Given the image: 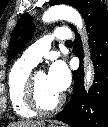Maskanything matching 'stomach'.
Returning a JSON list of instances; mask_svg holds the SVG:
<instances>
[{
    "mask_svg": "<svg viewBox=\"0 0 108 127\" xmlns=\"http://www.w3.org/2000/svg\"><path fill=\"white\" fill-rule=\"evenodd\" d=\"M47 127H67L66 125H60V124H55L54 122H50V124Z\"/></svg>",
    "mask_w": 108,
    "mask_h": 127,
    "instance_id": "1",
    "label": "stomach"
}]
</instances>
